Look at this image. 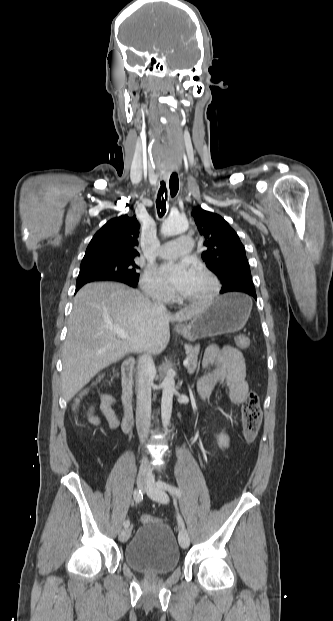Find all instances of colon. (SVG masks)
<instances>
[{"mask_svg":"<svg viewBox=\"0 0 333 621\" xmlns=\"http://www.w3.org/2000/svg\"><path fill=\"white\" fill-rule=\"evenodd\" d=\"M236 344L240 348H247L249 346V339L245 336H238L236 338ZM100 381V378L96 380L92 386L83 390L77 397L74 407L78 408L80 401L89 393L91 388ZM262 422V410L260 406L259 396L255 392H249L245 397L242 404V423L245 438L248 442H252L259 431ZM142 523H151L157 521L156 518L150 515H143L141 518Z\"/></svg>","mask_w":333,"mask_h":621,"instance_id":"5ec220e1","label":"colon"}]
</instances>
